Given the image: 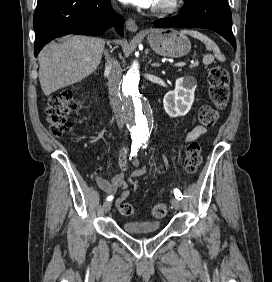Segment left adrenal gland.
Wrapping results in <instances>:
<instances>
[{
	"mask_svg": "<svg viewBox=\"0 0 272 282\" xmlns=\"http://www.w3.org/2000/svg\"><path fill=\"white\" fill-rule=\"evenodd\" d=\"M151 65H152V67H158V66H160V63H152Z\"/></svg>",
	"mask_w": 272,
	"mask_h": 282,
	"instance_id": "1",
	"label": "left adrenal gland"
}]
</instances>
